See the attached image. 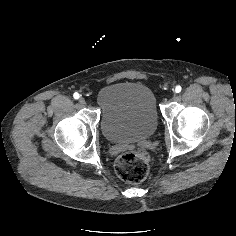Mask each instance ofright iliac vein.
<instances>
[{
	"mask_svg": "<svg viewBox=\"0 0 236 236\" xmlns=\"http://www.w3.org/2000/svg\"><path fill=\"white\" fill-rule=\"evenodd\" d=\"M79 103H80L81 105H85V99H84L83 97H80V98H79Z\"/></svg>",
	"mask_w": 236,
	"mask_h": 236,
	"instance_id": "63e3f726",
	"label": "right iliac vein"
}]
</instances>
